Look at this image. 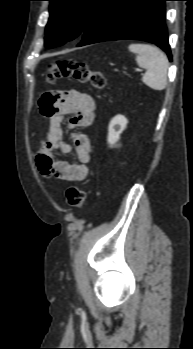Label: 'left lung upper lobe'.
Masks as SVG:
<instances>
[{
  "label": "left lung upper lobe",
  "mask_w": 193,
  "mask_h": 349,
  "mask_svg": "<svg viewBox=\"0 0 193 349\" xmlns=\"http://www.w3.org/2000/svg\"><path fill=\"white\" fill-rule=\"evenodd\" d=\"M48 1H50V18L46 26L47 47L62 45L82 34L107 2V0Z\"/></svg>",
  "instance_id": "left-lung-upper-lobe-1"
}]
</instances>
